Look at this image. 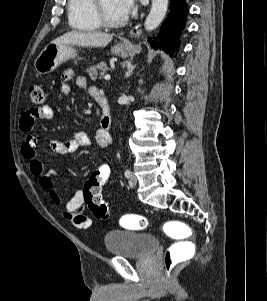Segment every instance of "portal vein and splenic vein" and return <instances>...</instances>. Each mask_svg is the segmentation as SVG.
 <instances>
[{
	"label": "portal vein and splenic vein",
	"instance_id": "1",
	"mask_svg": "<svg viewBox=\"0 0 267 301\" xmlns=\"http://www.w3.org/2000/svg\"><path fill=\"white\" fill-rule=\"evenodd\" d=\"M110 78H111L110 74H106V75L104 76V79H105V80H110Z\"/></svg>",
	"mask_w": 267,
	"mask_h": 301
}]
</instances>
